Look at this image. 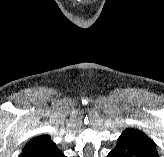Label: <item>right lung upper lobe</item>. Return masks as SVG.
<instances>
[{
    "label": "right lung upper lobe",
    "mask_w": 164,
    "mask_h": 157,
    "mask_svg": "<svg viewBox=\"0 0 164 157\" xmlns=\"http://www.w3.org/2000/svg\"><path fill=\"white\" fill-rule=\"evenodd\" d=\"M50 140V137L48 135H41L38 137L32 138L24 147L22 153H25L26 151L30 150L34 146L40 144L41 142H45ZM21 157V156H20Z\"/></svg>",
    "instance_id": "1"
}]
</instances>
